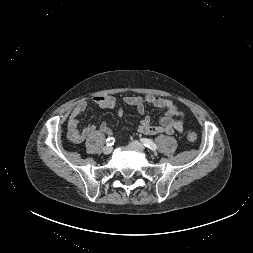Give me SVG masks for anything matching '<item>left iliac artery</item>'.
Wrapping results in <instances>:
<instances>
[{
	"label": "left iliac artery",
	"instance_id": "1",
	"mask_svg": "<svg viewBox=\"0 0 253 253\" xmlns=\"http://www.w3.org/2000/svg\"><path fill=\"white\" fill-rule=\"evenodd\" d=\"M140 141L145 147L151 149L152 151H155L157 149L156 144L151 139L141 138Z\"/></svg>",
	"mask_w": 253,
	"mask_h": 253
}]
</instances>
